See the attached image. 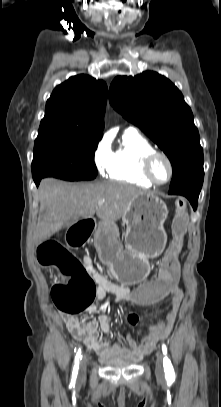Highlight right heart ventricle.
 Masks as SVG:
<instances>
[{
  "mask_svg": "<svg viewBox=\"0 0 221 407\" xmlns=\"http://www.w3.org/2000/svg\"><path fill=\"white\" fill-rule=\"evenodd\" d=\"M154 150L152 144L136 130H126L119 146L112 152L108 172L110 179L151 187L153 184L144 176L142 163L144 157Z\"/></svg>",
  "mask_w": 221,
  "mask_h": 407,
  "instance_id": "1",
  "label": "right heart ventricle"
}]
</instances>
